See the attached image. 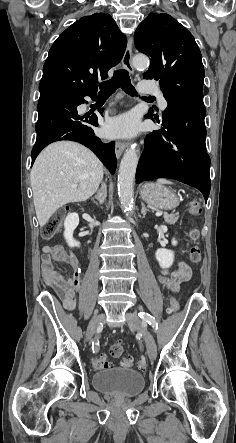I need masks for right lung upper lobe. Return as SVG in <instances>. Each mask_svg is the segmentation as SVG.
I'll return each instance as SVG.
<instances>
[{
	"mask_svg": "<svg viewBox=\"0 0 236 443\" xmlns=\"http://www.w3.org/2000/svg\"><path fill=\"white\" fill-rule=\"evenodd\" d=\"M126 37L109 14L81 17L53 43L43 67L39 91L72 94L97 91L96 79L122 59Z\"/></svg>",
	"mask_w": 236,
	"mask_h": 443,
	"instance_id": "obj_1",
	"label": "right lung upper lobe"
}]
</instances>
